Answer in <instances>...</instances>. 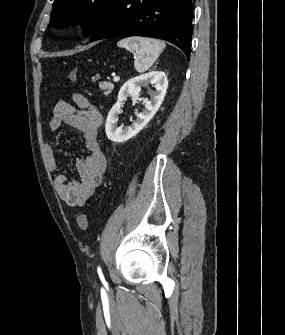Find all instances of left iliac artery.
Masks as SVG:
<instances>
[{
    "instance_id": "1",
    "label": "left iliac artery",
    "mask_w": 285,
    "mask_h": 335,
    "mask_svg": "<svg viewBox=\"0 0 285 335\" xmlns=\"http://www.w3.org/2000/svg\"><path fill=\"white\" fill-rule=\"evenodd\" d=\"M99 272H101V268H100V267L98 268V273H99Z\"/></svg>"
}]
</instances>
